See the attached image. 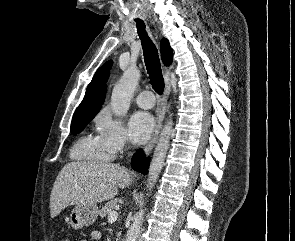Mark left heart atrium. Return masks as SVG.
Masks as SVG:
<instances>
[{"label": "left heart atrium", "mask_w": 295, "mask_h": 241, "mask_svg": "<svg viewBox=\"0 0 295 241\" xmlns=\"http://www.w3.org/2000/svg\"><path fill=\"white\" fill-rule=\"evenodd\" d=\"M155 127V121L147 112H136L129 121V132L132 140L143 144L149 140Z\"/></svg>", "instance_id": "obj_1"}]
</instances>
